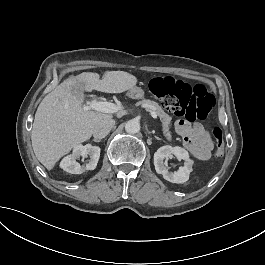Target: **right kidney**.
Listing matches in <instances>:
<instances>
[{"instance_id": "obj_1", "label": "right kidney", "mask_w": 265, "mask_h": 265, "mask_svg": "<svg viewBox=\"0 0 265 265\" xmlns=\"http://www.w3.org/2000/svg\"><path fill=\"white\" fill-rule=\"evenodd\" d=\"M100 151V147L98 146H92L90 144L85 146L78 145L74 148L72 155L63 159L61 167L66 172L74 174H81L87 170H94L100 157ZM81 157L89 158V162L86 165L81 166L80 163L77 162V159Z\"/></svg>"}]
</instances>
